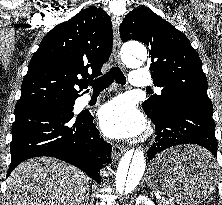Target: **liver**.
<instances>
[{"instance_id":"1","label":"liver","mask_w":222,"mask_h":205,"mask_svg":"<svg viewBox=\"0 0 222 205\" xmlns=\"http://www.w3.org/2000/svg\"><path fill=\"white\" fill-rule=\"evenodd\" d=\"M89 178L50 157L29 159L7 179L5 205H83Z\"/></svg>"}]
</instances>
